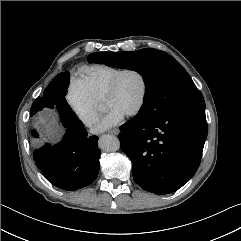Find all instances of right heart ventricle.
<instances>
[{
	"label": "right heart ventricle",
	"mask_w": 241,
	"mask_h": 241,
	"mask_svg": "<svg viewBox=\"0 0 241 241\" xmlns=\"http://www.w3.org/2000/svg\"><path fill=\"white\" fill-rule=\"evenodd\" d=\"M122 68L108 64H91L80 68V81L97 100L103 99L104 91L110 80Z\"/></svg>",
	"instance_id": "e07e8e85"
}]
</instances>
